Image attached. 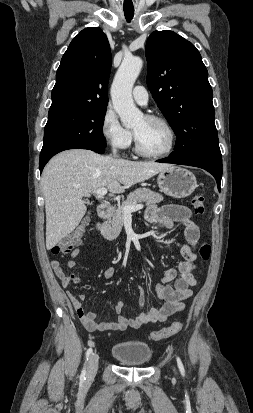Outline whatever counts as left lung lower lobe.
Segmentation results:
<instances>
[{"mask_svg":"<svg viewBox=\"0 0 253 413\" xmlns=\"http://www.w3.org/2000/svg\"><path fill=\"white\" fill-rule=\"evenodd\" d=\"M162 163H173L202 168L211 173L217 182L218 190L222 178V155L216 154H195L186 156H172L158 160Z\"/></svg>","mask_w":253,"mask_h":413,"instance_id":"1","label":"left lung lower lobe"}]
</instances>
